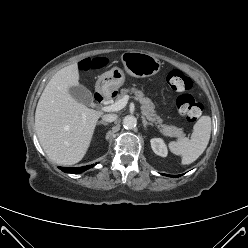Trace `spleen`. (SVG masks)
Here are the masks:
<instances>
[{"mask_svg": "<svg viewBox=\"0 0 248 248\" xmlns=\"http://www.w3.org/2000/svg\"><path fill=\"white\" fill-rule=\"evenodd\" d=\"M211 134V118L202 116L193 126L191 138H182L181 140L169 143L170 151L175 155L182 156V164H191L199 158L205 151Z\"/></svg>", "mask_w": 248, "mask_h": 248, "instance_id": "1", "label": "spleen"}]
</instances>
